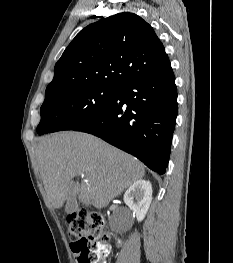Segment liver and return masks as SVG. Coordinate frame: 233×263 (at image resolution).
I'll return each instance as SVG.
<instances>
[{
	"instance_id": "6515ba94",
	"label": "liver",
	"mask_w": 233,
	"mask_h": 263,
	"mask_svg": "<svg viewBox=\"0 0 233 263\" xmlns=\"http://www.w3.org/2000/svg\"><path fill=\"white\" fill-rule=\"evenodd\" d=\"M37 160L47 200L56 209L71 195L85 206L103 208L145 174L136 158L81 132L44 137L37 147ZM81 175L84 181L71 182Z\"/></svg>"
}]
</instances>
